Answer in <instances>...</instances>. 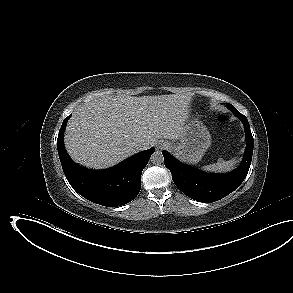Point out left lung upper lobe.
Wrapping results in <instances>:
<instances>
[{"label":"left lung upper lobe","mask_w":293,"mask_h":293,"mask_svg":"<svg viewBox=\"0 0 293 293\" xmlns=\"http://www.w3.org/2000/svg\"><path fill=\"white\" fill-rule=\"evenodd\" d=\"M227 107L235 114V115H240L241 113H239L235 107L231 104H227Z\"/></svg>","instance_id":"5c2ea615"}]
</instances>
